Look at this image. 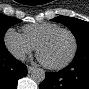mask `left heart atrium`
I'll return each mask as SVG.
<instances>
[{
	"label": "left heart atrium",
	"mask_w": 89,
	"mask_h": 89,
	"mask_svg": "<svg viewBox=\"0 0 89 89\" xmlns=\"http://www.w3.org/2000/svg\"><path fill=\"white\" fill-rule=\"evenodd\" d=\"M39 60H40L41 62H43L40 56H39Z\"/></svg>",
	"instance_id": "39dd6f15"
}]
</instances>
